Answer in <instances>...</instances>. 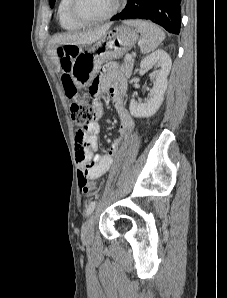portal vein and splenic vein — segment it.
<instances>
[{
	"label": "portal vein and splenic vein",
	"instance_id": "1",
	"mask_svg": "<svg viewBox=\"0 0 227 298\" xmlns=\"http://www.w3.org/2000/svg\"><path fill=\"white\" fill-rule=\"evenodd\" d=\"M125 58H126L127 60H131V59H132V56L129 55V54H127V55L125 56Z\"/></svg>",
	"mask_w": 227,
	"mask_h": 298
}]
</instances>
